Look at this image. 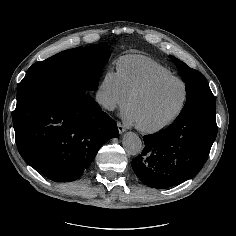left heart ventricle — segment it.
<instances>
[{"label":"left heart ventricle","mask_w":236,"mask_h":236,"mask_svg":"<svg viewBox=\"0 0 236 236\" xmlns=\"http://www.w3.org/2000/svg\"><path fill=\"white\" fill-rule=\"evenodd\" d=\"M183 92L180 82L167 81L137 98L130 106L135 122L150 127L165 121L179 108Z\"/></svg>","instance_id":"left-heart-ventricle-1"}]
</instances>
